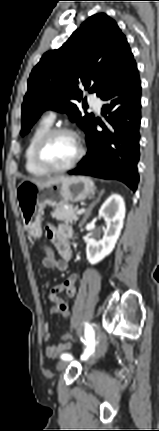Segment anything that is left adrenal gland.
<instances>
[{"label":"left adrenal gland","instance_id":"1","mask_svg":"<svg viewBox=\"0 0 159 431\" xmlns=\"http://www.w3.org/2000/svg\"><path fill=\"white\" fill-rule=\"evenodd\" d=\"M103 194H104V190H102L100 192L97 200L94 201L93 203H91V205L89 206V208H88V210H87V212H86V214H85V216L83 218L82 224H84L86 222V220L89 218V216L91 215V211H92L93 207L95 206L96 203L99 202V200H100V198L102 197Z\"/></svg>","mask_w":159,"mask_h":431}]
</instances>
